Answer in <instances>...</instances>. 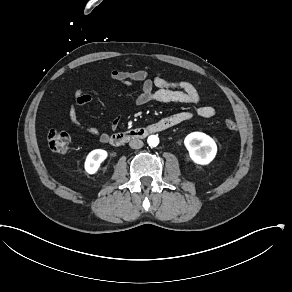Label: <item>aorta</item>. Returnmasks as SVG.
<instances>
[{
    "mask_svg": "<svg viewBox=\"0 0 292 292\" xmlns=\"http://www.w3.org/2000/svg\"><path fill=\"white\" fill-rule=\"evenodd\" d=\"M148 144L152 147H155L159 144V138L156 135L148 137Z\"/></svg>",
    "mask_w": 292,
    "mask_h": 292,
    "instance_id": "762f6f07",
    "label": "aorta"
}]
</instances>
